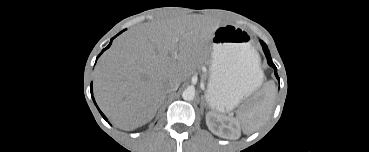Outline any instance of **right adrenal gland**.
<instances>
[{"label":"right adrenal gland","instance_id":"1","mask_svg":"<svg viewBox=\"0 0 369 152\" xmlns=\"http://www.w3.org/2000/svg\"><path fill=\"white\" fill-rule=\"evenodd\" d=\"M166 98H167V97L165 96V98H164V100H163V102H162V104H161V105H163V104L165 103V101H166Z\"/></svg>","mask_w":369,"mask_h":152}]
</instances>
